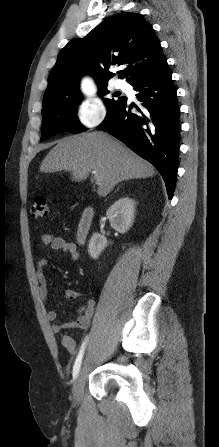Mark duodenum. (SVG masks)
<instances>
[{"label": "duodenum", "mask_w": 219, "mask_h": 447, "mask_svg": "<svg viewBox=\"0 0 219 447\" xmlns=\"http://www.w3.org/2000/svg\"><path fill=\"white\" fill-rule=\"evenodd\" d=\"M94 217L95 209L93 207H87L82 212L76 231V239L79 243H84L87 239L94 221Z\"/></svg>", "instance_id": "obj_1"}]
</instances>
